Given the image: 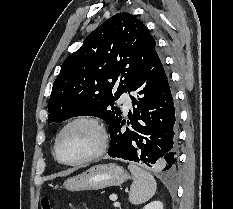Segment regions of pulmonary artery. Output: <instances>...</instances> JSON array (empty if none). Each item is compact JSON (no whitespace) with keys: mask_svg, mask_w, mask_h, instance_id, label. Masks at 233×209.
Wrapping results in <instances>:
<instances>
[{"mask_svg":"<svg viewBox=\"0 0 233 209\" xmlns=\"http://www.w3.org/2000/svg\"><path fill=\"white\" fill-rule=\"evenodd\" d=\"M119 103L123 105L125 111L129 110L132 106V101L128 93H124L119 98Z\"/></svg>","mask_w":233,"mask_h":209,"instance_id":"obj_1","label":"pulmonary artery"}]
</instances>
